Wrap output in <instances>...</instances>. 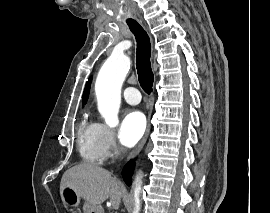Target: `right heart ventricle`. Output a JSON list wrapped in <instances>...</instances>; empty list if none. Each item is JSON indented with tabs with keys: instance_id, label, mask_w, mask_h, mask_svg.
<instances>
[{
	"instance_id": "obj_1",
	"label": "right heart ventricle",
	"mask_w": 270,
	"mask_h": 213,
	"mask_svg": "<svg viewBox=\"0 0 270 213\" xmlns=\"http://www.w3.org/2000/svg\"><path fill=\"white\" fill-rule=\"evenodd\" d=\"M102 125L85 115L78 127L77 148L83 160L102 163L107 158L103 144Z\"/></svg>"
}]
</instances>
